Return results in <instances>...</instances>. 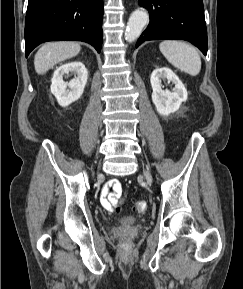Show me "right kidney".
Returning a JSON list of instances; mask_svg holds the SVG:
<instances>
[{"label":"right kidney","mask_w":243,"mask_h":289,"mask_svg":"<svg viewBox=\"0 0 243 289\" xmlns=\"http://www.w3.org/2000/svg\"><path fill=\"white\" fill-rule=\"evenodd\" d=\"M69 72L77 74V77L69 83H66L63 80V76ZM87 79L88 71L82 62L74 61L65 63L54 71L50 87L51 93L55 96L60 106L66 107L81 97Z\"/></svg>","instance_id":"obj_1"}]
</instances>
